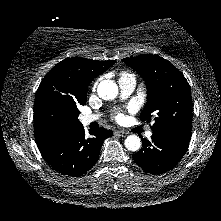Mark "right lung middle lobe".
Listing matches in <instances>:
<instances>
[{"instance_id":"1","label":"right lung middle lobe","mask_w":221,"mask_h":221,"mask_svg":"<svg viewBox=\"0 0 221 221\" xmlns=\"http://www.w3.org/2000/svg\"><path fill=\"white\" fill-rule=\"evenodd\" d=\"M85 103L86 100L75 102L51 94L44 95L34 105V126L45 134L80 126L77 106Z\"/></svg>"}]
</instances>
